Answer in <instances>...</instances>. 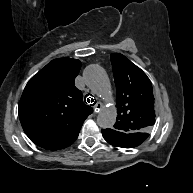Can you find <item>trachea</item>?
Returning a JSON list of instances; mask_svg holds the SVG:
<instances>
[{"instance_id":"3493384b","label":"trachea","mask_w":193,"mask_h":193,"mask_svg":"<svg viewBox=\"0 0 193 193\" xmlns=\"http://www.w3.org/2000/svg\"><path fill=\"white\" fill-rule=\"evenodd\" d=\"M89 95H90V94H87V95L85 96V99H86V97H88ZM90 98H91V97H88V98L85 100V102H86V103H87V102H88V103H93V102H94V103L91 104V105H92V106L95 105V104H96V100H94L93 98H91V99H90Z\"/></svg>"}]
</instances>
